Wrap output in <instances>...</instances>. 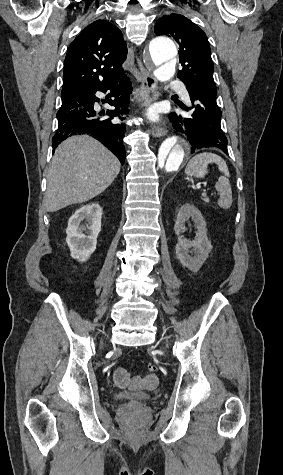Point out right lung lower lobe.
Wrapping results in <instances>:
<instances>
[{"mask_svg": "<svg viewBox=\"0 0 283 475\" xmlns=\"http://www.w3.org/2000/svg\"><path fill=\"white\" fill-rule=\"evenodd\" d=\"M131 82L125 78L120 82L104 86H86L70 90L62 94V105L57 112L58 129L52 138L53 148L73 135L87 134L102 142L111 150L122 164L125 161V147L122 139L125 136L126 127L122 123L112 120L113 117L127 113ZM109 92L111 97L107 102L114 106V110L95 111L94 103L100 100L95 93ZM108 115L110 118H100ZM54 153V150H53Z\"/></svg>", "mask_w": 283, "mask_h": 475, "instance_id": "obj_1", "label": "right lung lower lobe"}]
</instances>
